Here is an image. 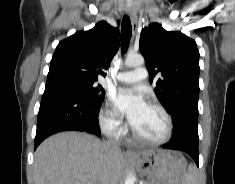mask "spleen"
<instances>
[{"mask_svg":"<svg viewBox=\"0 0 235 184\" xmlns=\"http://www.w3.org/2000/svg\"><path fill=\"white\" fill-rule=\"evenodd\" d=\"M196 176H197L196 166L190 164L187 172H185L183 176L182 184H196Z\"/></svg>","mask_w":235,"mask_h":184,"instance_id":"3e777b00","label":"spleen"}]
</instances>
